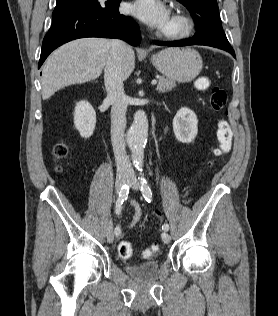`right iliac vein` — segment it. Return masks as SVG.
Here are the masks:
<instances>
[{
    "mask_svg": "<svg viewBox=\"0 0 278 316\" xmlns=\"http://www.w3.org/2000/svg\"><path fill=\"white\" fill-rule=\"evenodd\" d=\"M127 180H128V176L125 173H119L116 176L115 190L117 194L120 192L122 186L127 182ZM106 238L109 243H112L114 241V233H113V227L111 223H109L106 228Z\"/></svg>",
    "mask_w": 278,
    "mask_h": 316,
    "instance_id": "1",
    "label": "right iliac vein"
}]
</instances>
